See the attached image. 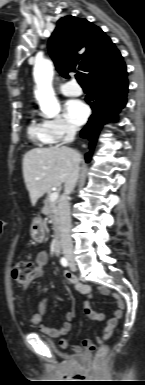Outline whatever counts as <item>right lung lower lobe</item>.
I'll return each mask as SVG.
<instances>
[{
  "instance_id": "1",
  "label": "right lung lower lobe",
  "mask_w": 145,
  "mask_h": 385,
  "mask_svg": "<svg viewBox=\"0 0 145 385\" xmlns=\"http://www.w3.org/2000/svg\"><path fill=\"white\" fill-rule=\"evenodd\" d=\"M87 83L89 93L85 100L91 106L93 114L81 130V137L90 140L91 151L85 155L89 162L102 126L115 121L117 113L126 104L128 80L125 63L121 62L110 72L91 77Z\"/></svg>"
}]
</instances>
